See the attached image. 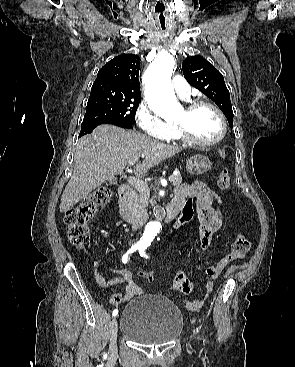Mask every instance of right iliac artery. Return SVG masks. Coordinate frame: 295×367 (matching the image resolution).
Listing matches in <instances>:
<instances>
[{"mask_svg": "<svg viewBox=\"0 0 295 367\" xmlns=\"http://www.w3.org/2000/svg\"><path fill=\"white\" fill-rule=\"evenodd\" d=\"M139 248H140V245H138V244L132 245V247L123 255L122 262L127 263L128 260H129L130 254L137 251ZM117 313H118V309H114V311L112 313V316H116Z\"/></svg>", "mask_w": 295, "mask_h": 367, "instance_id": "obj_1", "label": "right iliac artery"}]
</instances>
